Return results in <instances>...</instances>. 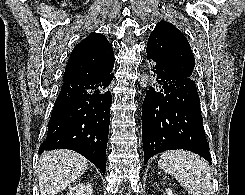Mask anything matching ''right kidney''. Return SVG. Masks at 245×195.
Returning <instances> with one entry per match:
<instances>
[{"label":"right kidney","mask_w":245,"mask_h":195,"mask_svg":"<svg viewBox=\"0 0 245 195\" xmlns=\"http://www.w3.org/2000/svg\"><path fill=\"white\" fill-rule=\"evenodd\" d=\"M93 189L91 184L79 183L73 186L67 195H92Z\"/></svg>","instance_id":"obj_1"}]
</instances>
